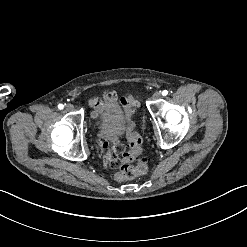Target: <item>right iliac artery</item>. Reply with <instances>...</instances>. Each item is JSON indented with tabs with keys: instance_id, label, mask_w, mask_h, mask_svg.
<instances>
[{
	"instance_id": "obj_1",
	"label": "right iliac artery",
	"mask_w": 247,
	"mask_h": 247,
	"mask_svg": "<svg viewBox=\"0 0 247 247\" xmlns=\"http://www.w3.org/2000/svg\"><path fill=\"white\" fill-rule=\"evenodd\" d=\"M58 108H59L60 110H62V109L64 108V105H63V104H59V105H58Z\"/></svg>"
}]
</instances>
